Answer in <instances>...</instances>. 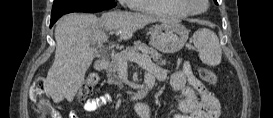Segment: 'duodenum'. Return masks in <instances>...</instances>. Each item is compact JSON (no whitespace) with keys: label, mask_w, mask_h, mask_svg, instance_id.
Returning <instances> with one entry per match:
<instances>
[{"label":"duodenum","mask_w":273,"mask_h":118,"mask_svg":"<svg viewBox=\"0 0 273 118\" xmlns=\"http://www.w3.org/2000/svg\"><path fill=\"white\" fill-rule=\"evenodd\" d=\"M95 66L98 70H104L107 67V61L106 60H98L95 64ZM153 85H154V82L152 80H145L144 79L143 85L141 87H139L138 89H136L132 93V98L137 99V98L144 96L147 93V91L153 87Z\"/></svg>","instance_id":"duodenum-1"}]
</instances>
